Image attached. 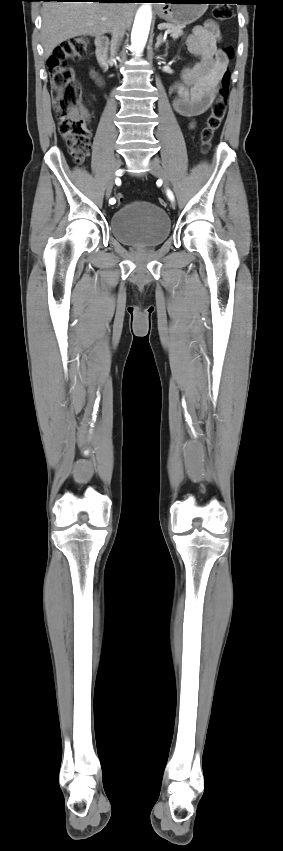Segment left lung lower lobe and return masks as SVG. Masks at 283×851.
<instances>
[{"mask_svg": "<svg viewBox=\"0 0 283 851\" xmlns=\"http://www.w3.org/2000/svg\"><path fill=\"white\" fill-rule=\"evenodd\" d=\"M208 1H209V0H208ZM208 3H209V2H208ZM211 3H225V4L227 3V4H233V3H239V2H238V0H213Z\"/></svg>", "mask_w": 283, "mask_h": 851, "instance_id": "obj_1", "label": "left lung lower lobe"}]
</instances>
